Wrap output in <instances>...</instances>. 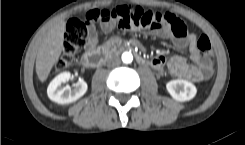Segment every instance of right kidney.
Wrapping results in <instances>:
<instances>
[{
    "label": "right kidney",
    "mask_w": 245,
    "mask_h": 145,
    "mask_svg": "<svg viewBox=\"0 0 245 145\" xmlns=\"http://www.w3.org/2000/svg\"><path fill=\"white\" fill-rule=\"evenodd\" d=\"M70 78L71 73L64 71L50 82L47 88V95L50 100L58 104H69L78 100L86 93L88 86L84 80H79L73 87L68 85L62 87V84L69 81Z\"/></svg>",
    "instance_id": "1"
}]
</instances>
